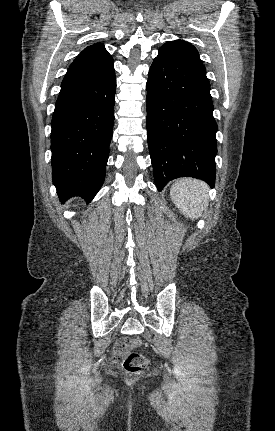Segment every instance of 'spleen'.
Returning a JSON list of instances; mask_svg holds the SVG:
<instances>
[{"mask_svg": "<svg viewBox=\"0 0 275 431\" xmlns=\"http://www.w3.org/2000/svg\"><path fill=\"white\" fill-rule=\"evenodd\" d=\"M175 206L190 219H197L208 207V186L193 178L176 180L170 189Z\"/></svg>", "mask_w": 275, "mask_h": 431, "instance_id": "3e777b00", "label": "spleen"}]
</instances>
